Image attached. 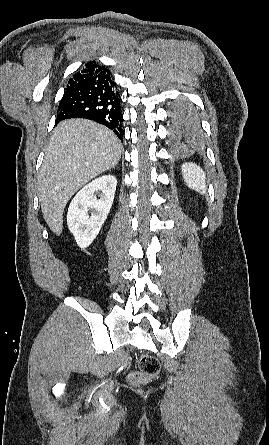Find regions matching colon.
<instances>
[{"label": "colon", "mask_w": 269, "mask_h": 445, "mask_svg": "<svg viewBox=\"0 0 269 445\" xmlns=\"http://www.w3.org/2000/svg\"><path fill=\"white\" fill-rule=\"evenodd\" d=\"M160 372V363L152 355L142 354L139 357V371L129 375V381L134 385L145 383L155 378Z\"/></svg>", "instance_id": "5ec220e1"}]
</instances>
